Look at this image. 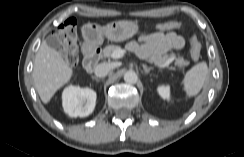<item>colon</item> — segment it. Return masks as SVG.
Wrapping results in <instances>:
<instances>
[{"label":"colon","instance_id":"1","mask_svg":"<svg viewBox=\"0 0 244 157\" xmlns=\"http://www.w3.org/2000/svg\"><path fill=\"white\" fill-rule=\"evenodd\" d=\"M158 31H168L181 28L176 21L159 23L155 26ZM55 36L60 43V53L65 61L72 67L78 63L77 53V23L75 19H69L61 24L55 31ZM190 54L193 59H198L201 54V45L195 36L189 39Z\"/></svg>","mask_w":244,"mask_h":157}]
</instances>
